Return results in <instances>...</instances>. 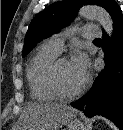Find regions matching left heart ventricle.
<instances>
[{
    "label": "left heart ventricle",
    "instance_id": "1",
    "mask_svg": "<svg viewBox=\"0 0 123 130\" xmlns=\"http://www.w3.org/2000/svg\"><path fill=\"white\" fill-rule=\"evenodd\" d=\"M58 77L62 87L67 91H74L83 84V81L72 70L68 60L59 63Z\"/></svg>",
    "mask_w": 123,
    "mask_h": 130
}]
</instances>
